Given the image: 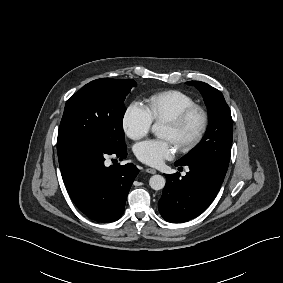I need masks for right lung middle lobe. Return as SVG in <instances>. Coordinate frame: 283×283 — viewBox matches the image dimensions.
<instances>
[{
    "label": "right lung middle lobe",
    "mask_w": 283,
    "mask_h": 283,
    "mask_svg": "<svg viewBox=\"0 0 283 283\" xmlns=\"http://www.w3.org/2000/svg\"><path fill=\"white\" fill-rule=\"evenodd\" d=\"M133 86L136 83L131 79L102 78L72 95L66 102L58 131V155L83 143L108 148L125 146L124 100Z\"/></svg>",
    "instance_id": "right-lung-middle-lobe-1"
}]
</instances>
